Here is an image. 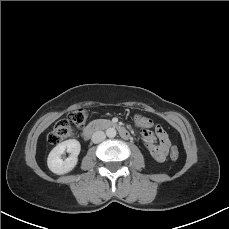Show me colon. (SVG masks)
Masks as SVG:
<instances>
[{"instance_id":"5ec220e1","label":"colon","mask_w":229,"mask_h":229,"mask_svg":"<svg viewBox=\"0 0 229 229\" xmlns=\"http://www.w3.org/2000/svg\"><path fill=\"white\" fill-rule=\"evenodd\" d=\"M87 117V113L83 109H76L69 113L68 120H61L57 122L48 136V141L51 144H58L66 139L73 138L75 136V127H81L84 125ZM136 123L142 125V119L140 116L136 117ZM170 158L176 161L179 158V150L177 147H172L170 150Z\"/></svg>"}]
</instances>
